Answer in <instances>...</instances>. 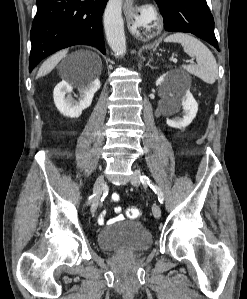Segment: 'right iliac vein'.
<instances>
[{"mask_svg": "<svg viewBox=\"0 0 247 299\" xmlns=\"http://www.w3.org/2000/svg\"><path fill=\"white\" fill-rule=\"evenodd\" d=\"M104 186H105L104 176L100 175L97 178V180L94 184V188H93L94 198H93L92 203H91V212L92 213H95L97 208H98L99 199H100V196L102 194Z\"/></svg>", "mask_w": 247, "mask_h": 299, "instance_id": "right-iliac-vein-1", "label": "right iliac vein"}]
</instances>
